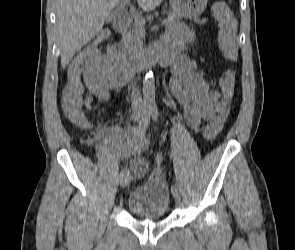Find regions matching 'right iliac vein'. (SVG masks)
Returning a JSON list of instances; mask_svg holds the SVG:
<instances>
[{"label":"right iliac vein","mask_w":295,"mask_h":250,"mask_svg":"<svg viewBox=\"0 0 295 250\" xmlns=\"http://www.w3.org/2000/svg\"><path fill=\"white\" fill-rule=\"evenodd\" d=\"M130 181H131V176L130 175L122 176L121 179H120V187L125 188L126 186H128Z\"/></svg>","instance_id":"right-iliac-vein-1"}]
</instances>
